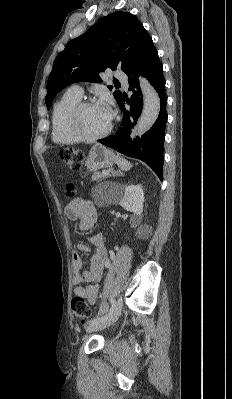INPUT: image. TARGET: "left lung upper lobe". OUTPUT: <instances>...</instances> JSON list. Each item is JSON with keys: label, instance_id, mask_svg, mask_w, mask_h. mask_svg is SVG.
<instances>
[{"label": "left lung upper lobe", "instance_id": "obj_1", "mask_svg": "<svg viewBox=\"0 0 232 399\" xmlns=\"http://www.w3.org/2000/svg\"><path fill=\"white\" fill-rule=\"evenodd\" d=\"M152 40L141 22L129 12L117 11L101 18L85 34L71 40L55 59L47 82V107L55 95L69 84L87 81L102 82L100 72L118 66L127 73L139 52ZM114 49L119 54L109 52ZM112 90V86H108ZM117 102L120 91L113 93Z\"/></svg>", "mask_w": 232, "mask_h": 399}]
</instances>
